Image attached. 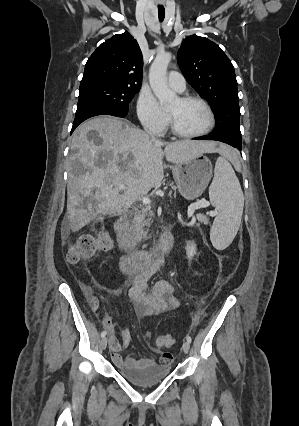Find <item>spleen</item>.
Wrapping results in <instances>:
<instances>
[{"instance_id":"spleen-1","label":"spleen","mask_w":299,"mask_h":426,"mask_svg":"<svg viewBox=\"0 0 299 426\" xmlns=\"http://www.w3.org/2000/svg\"><path fill=\"white\" fill-rule=\"evenodd\" d=\"M210 202L218 213L210 231V239L217 250L227 248L241 224L244 196L239 180L224 157L215 164L214 178L209 187Z\"/></svg>"}]
</instances>
